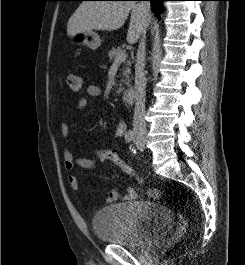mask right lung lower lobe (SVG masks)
I'll use <instances>...</instances> for the list:
<instances>
[{"mask_svg": "<svg viewBox=\"0 0 245 265\" xmlns=\"http://www.w3.org/2000/svg\"><path fill=\"white\" fill-rule=\"evenodd\" d=\"M127 1H140V0H127ZM146 1H150L151 2L152 11L156 15H158V13L160 12V7H161L162 1H166V0H146Z\"/></svg>", "mask_w": 245, "mask_h": 265, "instance_id": "obj_1", "label": "right lung lower lobe"}]
</instances>
